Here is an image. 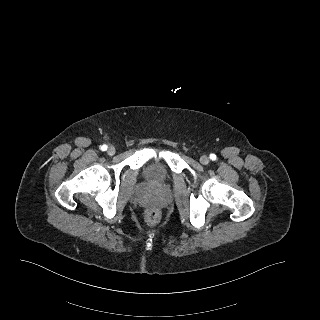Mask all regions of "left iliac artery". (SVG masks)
Returning <instances> with one entry per match:
<instances>
[{"label": "left iliac artery", "instance_id": "obj_1", "mask_svg": "<svg viewBox=\"0 0 320 320\" xmlns=\"http://www.w3.org/2000/svg\"><path fill=\"white\" fill-rule=\"evenodd\" d=\"M210 159L213 160V161L216 160V155L215 154H210Z\"/></svg>", "mask_w": 320, "mask_h": 320}]
</instances>
